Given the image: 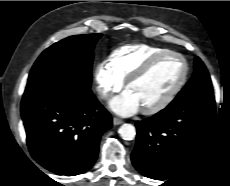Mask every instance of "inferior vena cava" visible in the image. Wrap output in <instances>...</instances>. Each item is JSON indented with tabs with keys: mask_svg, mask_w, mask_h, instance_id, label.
I'll use <instances>...</instances> for the list:
<instances>
[{
	"mask_svg": "<svg viewBox=\"0 0 230 186\" xmlns=\"http://www.w3.org/2000/svg\"><path fill=\"white\" fill-rule=\"evenodd\" d=\"M103 97L106 98V97H108V95H107V94H104Z\"/></svg>",
	"mask_w": 230,
	"mask_h": 186,
	"instance_id": "1",
	"label": "inferior vena cava"
}]
</instances>
